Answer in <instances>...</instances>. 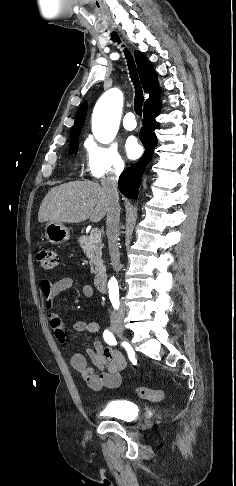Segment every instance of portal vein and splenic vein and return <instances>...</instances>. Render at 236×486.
Here are the masks:
<instances>
[{
	"label": "portal vein and splenic vein",
	"mask_w": 236,
	"mask_h": 486,
	"mask_svg": "<svg viewBox=\"0 0 236 486\" xmlns=\"http://www.w3.org/2000/svg\"><path fill=\"white\" fill-rule=\"evenodd\" d=\"M91 236L95 239H101V232L98 229H93L91 231Z\"/></svg>",
	"instance_id": "obj_1"
}]
</instances>
